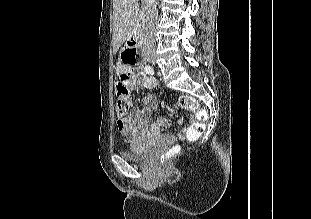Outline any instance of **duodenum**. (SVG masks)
I'll return each mask as SVG.
<instances>
[{"label": "duodenum", "mask_w": 311, "mask_h": 219, "mask_svg": "<svg viewBox=\"0 0 311 219\" xmlns=\"http://www.w3.org/2000/svg\"><path fill=\"white\" fill-rule=\"evenodd\" d=\"M142 29H136L129 36L127 41V48L130 54L137 55L140 52L141 48V38H142Z\"/></svg>", "instance_id": "410a0bca"}]
</instances>
